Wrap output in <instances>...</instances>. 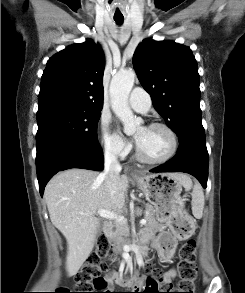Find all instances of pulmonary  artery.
I'll use <instances>...</instances> for the list:
<instances>
[{"label": "pulmonary artery", "mask_w": 245, "mask_h": 293, "mask_svg": "<svg viewBox=\"0 0 245 293\" xmlns=\"http://www.w3.org/2000/svg\"><path fill=\"white\" fill-rule=\"evenodd\" d=\"M128 101L131 108L140 113H146L151 106L149 93L141 87H136L132 90Z\"/></svg>", "instance_id": "e3ab8cb5"}]
</instances>
